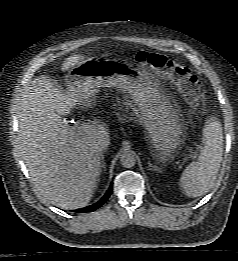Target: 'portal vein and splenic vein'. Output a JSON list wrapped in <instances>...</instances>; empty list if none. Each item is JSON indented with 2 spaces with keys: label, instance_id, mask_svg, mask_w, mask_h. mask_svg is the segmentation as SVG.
Segmentation results:
<instances>
[{
  "label": "portal vein and splenic vein",
  "instance_id": "portal-vein-and-splenic-vein-1",
  "mask_svg": "<svg viewBox=\"0 0 238 261\" xmlns=\"http://www.w3.org/2000/svg\"><path fill=\"white\" fill-rule=\"evenodd\" d=\"M91 124L88 123H78L74 126L73 130L77 133V134H83L86 132H89L92 129Z\"/></svg>",
  "mask_w": 238,
  "mask_h": 261
}]
</instances>
